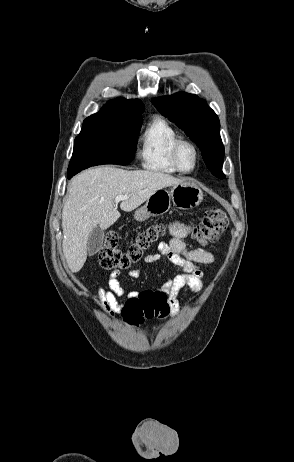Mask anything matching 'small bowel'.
I'll return each instance as SVG.
<instances>
[{
  "mask_svg": "<svg viewBox=\"0 0 294 462\" xmlns=\"http://www.w3.org/2000/svg\"><path fill=\"white\" fill-rule=\"evenodd\" d=\"M171 239L169 242H161L157 247V252L147 255L144 259L146 263H154L162 258H166L174 265L178 266L182 273L173 277H168L165 283L156 289L163 293L170 306L172 316H177L180 312L178 294L183 288H189L195 293H199L203 288V273L199 265H208L214 261L211 252L203 249H190L185 243L188 235V228L179 222H172L168 227ZM119 271L110 273L105 283L98 287L94 294L96 304L108 315L114 317L121 313L124 304L118 298L124 296H136L138 292H127L120 280ZM141 275L140 269L129 271V276L138 278Z\"/></svg>",
  "mask_w": 294,
  "mask_h": 462,
  "instance_id": "c3829d8e",
  "label": "small bowel"
}]
</instances>
